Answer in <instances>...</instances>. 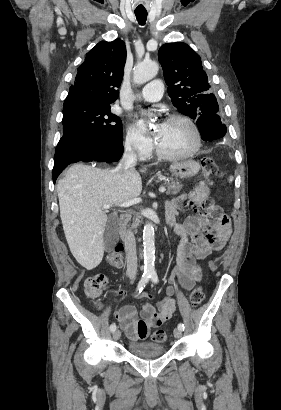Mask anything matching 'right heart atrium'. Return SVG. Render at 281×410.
<instances>
[{"mask_svg":"<svg viewBox=\"0 0 281 410\" xmlns=\"http://www.w3.org/2000/svg\"><path fill=\"white\" fill-rule=\"evenodd\" d=\"M125 147L141 158L149 156L153 149L152 141L135 127H129L125 136Z\"/></svg>","mask_w":281,"mask_h":410,"instance_id":"obj_1","label":"right heart atrium"}]
</instances>
